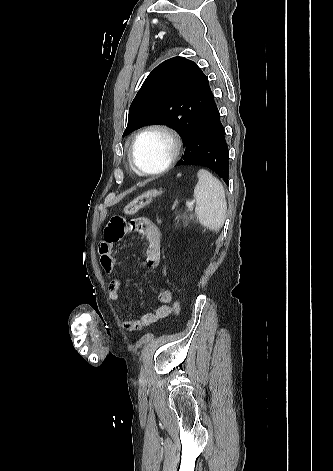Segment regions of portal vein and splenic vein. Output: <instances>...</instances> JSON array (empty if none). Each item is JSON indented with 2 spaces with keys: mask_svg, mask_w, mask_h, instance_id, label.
<instances>
[{
  "mask_svg": "<svg viewBox=\"0 0 333 471\" xmlns=\"http://www.w3.org/2000/svg\"><path fill=\"white\" fill-rule=\"evenodd\" d=\"M186 206H187L188 208L192 209L193 206H194V201H187V202H186Z\"/></svg>",
  "mask_w": 333,
  "mask_h": 471,
  "instance_id": "portal-vein-and-splenic-vein-1",
  "label": "portal vein and splenic vein"
}]
</instances>
